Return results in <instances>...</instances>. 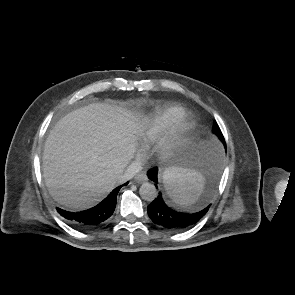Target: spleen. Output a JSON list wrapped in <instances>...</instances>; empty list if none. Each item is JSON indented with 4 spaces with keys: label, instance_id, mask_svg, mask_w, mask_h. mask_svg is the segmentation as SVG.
<instances>
[{
    "label": "spleen",
    "instance_id": "obj_1",
    "mask_svg": "<svg viewBox=\"0 0 295 295\" xmlns=\"http://www.w3.org/2000/svg\"><path fill=\"white\" fill-rule=\"evenodd\" d=\"M163 180L172 201L182 206L195 203L202 193L205 183L202 173L177 168L165 170Z\"/></svg>",
    "mask_w": 295,
    "mask_h": 295
}]
</instances>
